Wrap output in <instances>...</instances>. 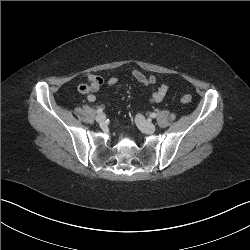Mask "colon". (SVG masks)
<instances>
[{"label": "colon", "instance_id": "5ec220e1", "mask_svg": "<svg viewBox=\"0 0 250 250\" xmlns=\"http://www.w3.org/2000/svg\"><path fill=\"white\" fill-rule=\"evenodd\" d=\"M101 83V79L97 76H90L88 78V82L84 84V89L89 88L95 85H99ZM192 101V96L190 94H186L181 97V102L182 103H189Z\"/></svg>", "mask_w": 250, "mask_h": 250}]
</instances>
